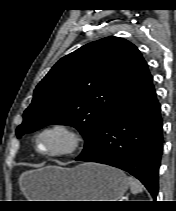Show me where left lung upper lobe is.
Here are the masks:
<instances>
[{"mask_svg": "<svg viewBox=\"0 0 176 211\" xmlns=\"http://www.w3.org/2000/svg\"><path fill=\"white\" fill-rule=\"evenodd\" d=\"M140 51L129 41L106 37L61 58L34 90L17 137L48 124L79 130L88 150L109 116L153 85Z\"/></svg>", "mask_w": 176, "mask_h": 211, "instance_id": "left-lung-upper-lobe-1", "label": "left lung upper lobe"}]
</instances>
